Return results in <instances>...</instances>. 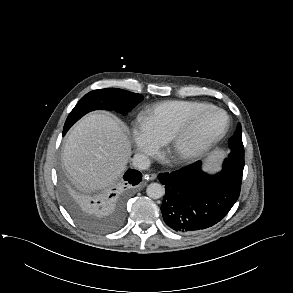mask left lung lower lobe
Masks as SVG:
<instances>
[{"mask_svg": "<svg viewBox=\"0 0 293 293\" xmlns=\"http://www.w3.org/2000/svg\"><path fill=\"white\" fill-rule=\"evenodd\" d=\"M243 168L225 159L222 170L210 175L198 161L158 178L165 185L161 211L165 223L180 233H193L213 226L237 201Z\"/></svg>", "mask_w": 293, "mask_h": 293, "instance_id": "1", "label": "left lung lower lobe"}]
</instances>
